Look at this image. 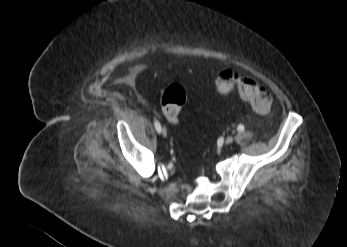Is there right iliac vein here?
<instances>
[{
	"mask_svg": "<svg viewBox=\"0 0 347 247\" xmlns=\"http://www.w3.org/2000/svg\"><path fill=\"white\" fill-rule=\"evenodd\" d=\"M162 134L163 136H167V130L165 129V127L162 128Z\"/></svg>",
	"mask_w": 347,
	"mask_h": 247,
	"instance_id": "right-iliac-vein-1",
	"label": "right iliac vein"
}]
</instances>
